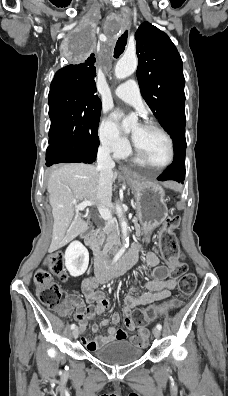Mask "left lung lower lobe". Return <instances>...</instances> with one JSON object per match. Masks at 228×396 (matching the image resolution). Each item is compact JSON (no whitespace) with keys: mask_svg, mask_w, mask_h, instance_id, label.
Returning a JSON list of instances; mask_svg holds the SVG:
<instances>
[{"mask_svg":"<svg viewBox=\"0 0 228 396\" xmlns=\"http://www.w3.org/2000/svg\"><path fill=\"white\" fill-rule=\"evenodd\" d=\"M174 141V160L157 179L160 181L176 180L183 183L185 179V124L176 127L170 134Z\"/></svg>","mask_w":228,"mask_h":396,"instance_id":"1","label":"left lung lower lobe"}]
</instances>
